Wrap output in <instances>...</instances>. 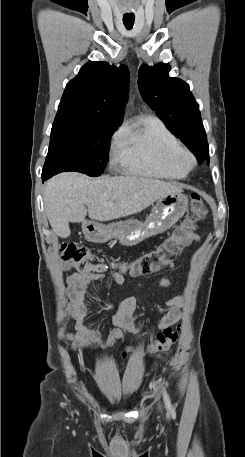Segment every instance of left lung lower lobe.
Returning a JSON list of instances; mask_svg holds the SVG:
<instances>
[{"mask_svg":"<svg viewBox=\"0 0 245 457\" xmlns=\"http://www.w3.org/2000/svg\"><path fill=\"white\" fill-rule=\"evenodd\" d=\"M204 160L209 163V149L204 151L203 155L198 159L199 163L201 164Z\"/></svg>","mask_w":245,"mask_h":457,"instance_id":"obj_1","label":"left lung lower lobe"}]
</instances>
